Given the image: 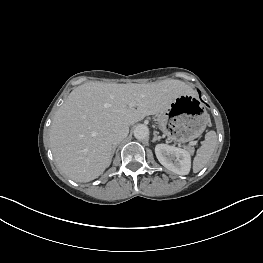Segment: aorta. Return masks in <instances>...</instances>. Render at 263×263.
Wrapping results in <instances>:
<instances>
[{
  "mask_svg": "<svg viewBox=\"0 0 263 263\" xmlns=\"http://www.w3.org/2000/svg\"><path fill=\"white\" fill-rule=\"evenodd\" d=\"M134 137L138 140H144L149 136V129L146 125L140 124L134 129Z\"/></svg>",
  "mask_w": 263,
  "mask_h": 263,
  "instance_id": "762f6f07",
  "label": "aorta"
}]
</instances>
